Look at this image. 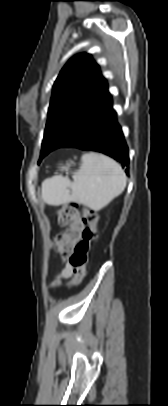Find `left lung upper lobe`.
<instances>
[{
  "label": "left lung upper lobe",
  "mask_w": 168,
  "mask_h": 406,
  "mask_svg": "<svg viewBox=\"0 0 168 406\" xmlns=\"http://www.w3.org/2000/svg\"><path fill=\"white\" fill-rule=\"evenodd\" d=\"M106 93V80L89 54L66 63L53 86L39 162L83 127Z\"/></svg>",
  "instance_id": "1"
}]
</instances>
